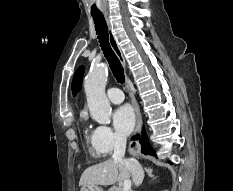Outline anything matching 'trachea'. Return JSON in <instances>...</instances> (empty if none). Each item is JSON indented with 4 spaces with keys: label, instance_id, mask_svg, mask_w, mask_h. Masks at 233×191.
<instances>
[{
    "label": "trachea",
    "instance_id": "3493384b",
    "mask_svg": "<svg viewBox=\"0 0 233 191\" xmlns=\"http://www.w3.org/2000/svg\"><path fill=\"white\" fill-rule=\"evenodd\" d=\"M94 23H95V29L96 34L99 39L100 46L103 50L104 56L106 57L109 66L117 79L119 83H124V69L114 53V51L111 49L109 44V33H108V27L105 21V18L102 14H92Z\"/></svg>",
    "mask_w": 233,
    "mask_h": 191
}]
</instances>
